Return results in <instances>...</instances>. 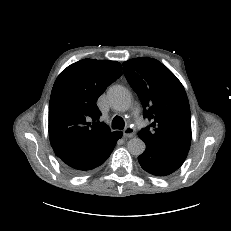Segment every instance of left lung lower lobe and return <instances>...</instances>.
I'll list each match as a JSON object with an SVG mask.
<instances>
[{"label":"left lung lower lobe","mask_w":231,"mask_h":231,"mask_svg":"<svg viewBox=\"0 0 231 231\" xmlns=\"http://www.w3.org/2000/svg\"><path fill=\"white\" fill-rule=\"evenodd\" d=\"M187 154V152L146 144V150L138 157V161L146 172L156 176H166L183 164Z\"/></svg>","instance_id":"obj_1"}]
</instances>
